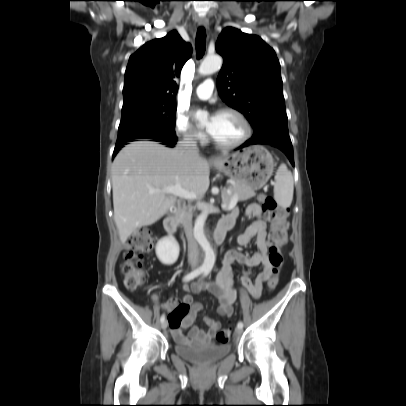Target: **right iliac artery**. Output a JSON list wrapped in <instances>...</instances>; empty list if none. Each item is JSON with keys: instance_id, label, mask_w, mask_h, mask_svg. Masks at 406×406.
Instances as JSON below:
<instances>
[{"instance_id": "right-iliac-artery-1", "label": "right iliac artery", "mask_w": 406, "mask_h": 406, "mask_svg": "<svg viewBox=\"0 0 406 406\" xmlns=\"http://www.w3.org/2000/svg\"><path fill=\"white\" fill-rule=\"evenodd\" d=\"M206 269L203 267L197 268L196 270L190 272L189 274L185 275L183 278V281H190L194 279L195 277L199 276L202 274ZM161 323L165 321V315L163 314L160 318Z\"/></svg>"}]
</instances>
